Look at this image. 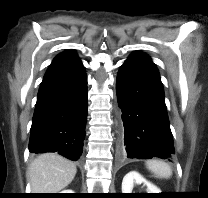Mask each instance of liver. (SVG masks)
<instances>
[{"mask_svg": "<svg viewBox=\"0 0 208 198\" xmlns=\"http://www.w3.org/2000/svg\"><path fill=\"white\" fill-rule=\"evenodd\" d=\"M76 172L73 162L55 153H44L31 162L27 178L32 193H58L71 183Z\"/></svg>", "mask_w": 208, "mask_h": 198, "instance_id": "liver-1", "label": "liver"}]
</instances>
